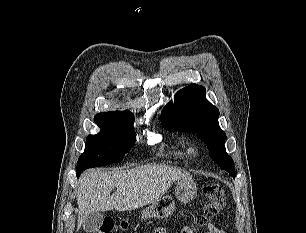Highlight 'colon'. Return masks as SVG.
<instances>
[{"label":"colon","instance_id":"obj_1","mask_svg":"<svg viewBox=\"0 0 306 233\" xmlns=\"http://www.w3.org/2000/svg\"><path fill=\"white\" fill-rule=\"evenodd\" d=\"M202 192L207 201L203 207V213L198 219L195 226L191 227L193 230L203 222L216 218L226 205V195L222 186L213 181H206L202 184ZM127 221H121L119 225L113 219H106L103 221L100 228L94 233H113L118 228L125 230L128 227ZM158 233V232H155Z\"/></svg>","mask_w":306,"mask_h":233}]
</instances>
